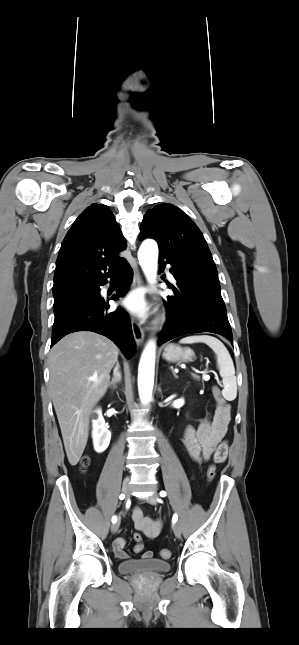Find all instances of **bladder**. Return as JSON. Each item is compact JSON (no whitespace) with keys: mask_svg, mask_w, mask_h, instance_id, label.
<instances>
[{"mask_svg":"<svg viewBox=\"0 0 299 645\" xmlns=\"http://www.w3.org/2000/svg\"><path fill=\"white\" fill-rule=\"evenodd\" d=\"M121 574H160L171 569L169 562L158 559H131L123 561L118 566Z\"/></svg>","mask_w":299,"mask_h":645,"instance_id":"1","label":"bladder"}]
</instances>
